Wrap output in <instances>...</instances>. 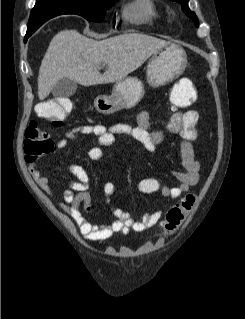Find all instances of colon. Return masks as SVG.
Returning a JSON list of instances; mask_svg holds the SVG:
<instances>
[{
    "label": "colon",
    "instance_id": "1",
    "mask_svg": "<svg viewBox=\"0 0 245 319\" xmlns=\"http://www.w3.org/2000/svg\"><path fill=\"white\" fill-rule=\"evenodd\" d=\"M172 104L175 108H183L190 104L182 92L172 91ZM72 108L71 102L65 97H57L42 102L38 113L48 119L54 126H60L65 121ZM53 150V142L49 134L41 130L36 121H31L25 131L24 153L28 163H33ZM197 197L190 193L183 197L178 204L171 207L166 213L163 223L167 234L174 233L184 221L188 213L196 204Z\"/></svg>",
    "mask_w": 245,
    "mask_h": 319
}]
</instances>
